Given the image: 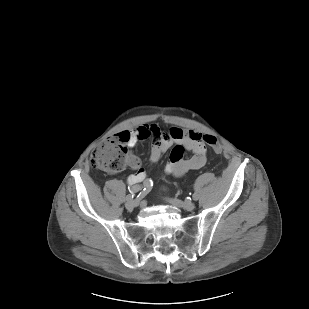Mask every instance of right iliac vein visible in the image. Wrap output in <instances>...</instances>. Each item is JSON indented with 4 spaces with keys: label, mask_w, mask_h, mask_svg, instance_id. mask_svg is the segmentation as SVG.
I'll return each mask as SVG.
<instances>
[{
    "label": "right iliac vein",
    "mask_w": 309,
    "mask_h": 309,
    "mask_svg": "<svg viewBox=\"0 0 309 309\" xmlns=\"http://www.w3.org/2000/svg\"><path fill=\"white\" fill-rule=\"evenodd\" d=\"M138 203H135L133 200L132 201H126L125 207L127 210H133L135 207H137Z\"/></svg>",
    "instance_id": "right-iliac-vein-1"
}]
</instances>
